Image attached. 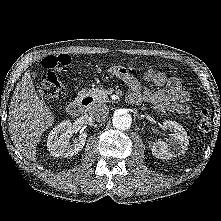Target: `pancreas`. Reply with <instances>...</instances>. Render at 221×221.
<instances>
[{
  "label": "pancreas",
  "mask_w": 221,
  "mask_h": 221,
  "mask_svg": "<svg viewBox=\"0 0 221 221\" xmlns=\"http://www.w3.org/2000/svg\"><path fill=\"white\" fill-rule=\"evenodd\" d=\"M88 94H90L92 97H94V99L97 102H108V90L104 89L103 87H96L93 88L91 90H89L87 92Z\"/></svg>",
  "instance_id": "obj_1"
}]
</instances>
